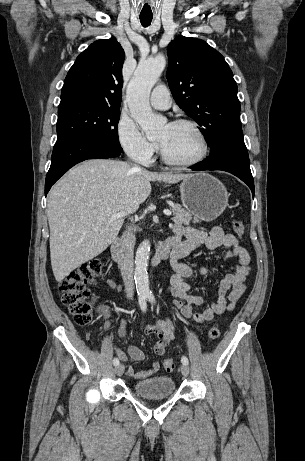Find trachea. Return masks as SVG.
Masks as SVG:
<instances>
[{"label":"trachea","mask_w":305,"mask_h":461,"mask_svg":"<svg viewBox=\"0 0 305 461\" xmlns=\"http://www.w3.org/2000/svg\"><path fill=\"white\" fill-rule=\"evenodd\" d=\"M140 21L143 27H147L151 24L152 18H143L140 17Z\"/></svg>","instance_id":"3493384b"}]
</instances>
